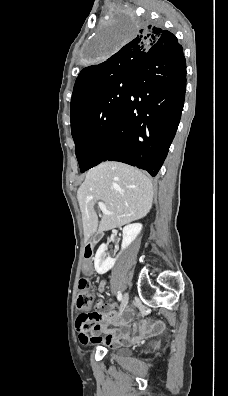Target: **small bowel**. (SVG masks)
<instances>
[{
    "label": "small bowel",
    "mask_w": 228,
    "mask_h": 396,
    "mask_svg": "<svg viewBox=\"0 0 228 396\" xmlns=\"http://www.w3.org/2000/svg\"><path fill=\"white\" fill-rule=\"evenodd\" d=\"M85 271L88 273L92 271L90 263L85 265ZM103 289L104 282H101L99 291L102 292ZM116 308L115 304H101L99 311L96 313V323L93 328L89 332H83L79 328L78 337L80 343L83 345L92 343L114 346L139 341L148 334L149 327L146 322H142L138 328L131 326L134 317L132 309H128L124 314L119 315ZM110 324L114 325L115 328L108 329L107 327ZM101 333L105 334L104 338L100 336Z\"/></svg>",
    "instance_id": "1"
}]
</instances>
